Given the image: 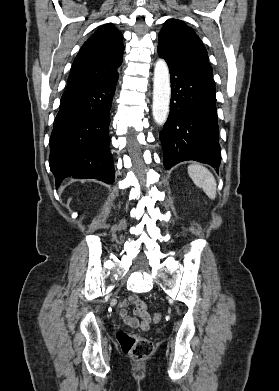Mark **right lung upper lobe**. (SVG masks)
<instances>
[{
    "mask_svg": "<svg viewBox=\"0 0 279 391\" xmlns=\"http://www.w3.org/2000/svg\"><path fill=\"white\" fill-rule=\"evenodd\" d=\"M123 35L113 24L103 25L81 47L68 78L66 91L103 82L122 63Z\"/></svg>",
    "mask_w": 279,
    "mask_h": 391,
    "instance_id": "cb5924a9",
    "label": "right lung upper lobe"
}]
</instances>
